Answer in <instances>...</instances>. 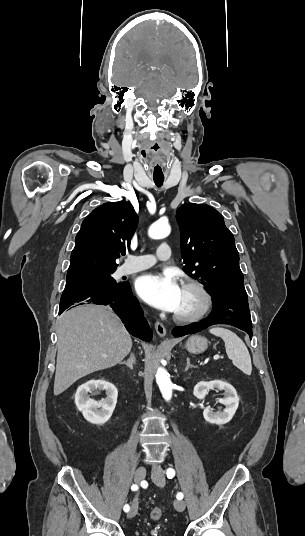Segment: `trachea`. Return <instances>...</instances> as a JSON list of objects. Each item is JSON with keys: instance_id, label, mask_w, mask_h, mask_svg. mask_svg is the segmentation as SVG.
<instances>
[{"instance_id": "3493384b", "label": "trachea", "mask_w": 305, "mask_h": 536, "mask_svg": "<svg viewBox=\"0 0 305 536\" xmlns=\"http://www.w3.org/2000/svg\"><path fill=\"white\" fill-rule=\"evenodd\" d=\"M153 180L157 187H161L164 182V177H153Z\"/></svg>"}]
</instances>
